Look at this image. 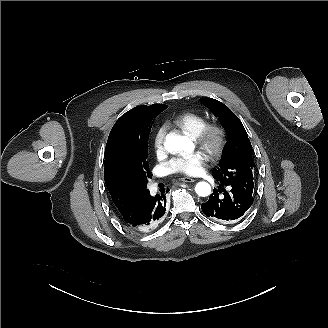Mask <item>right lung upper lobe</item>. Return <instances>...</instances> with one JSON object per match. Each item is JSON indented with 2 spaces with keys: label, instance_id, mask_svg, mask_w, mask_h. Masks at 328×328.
Here are the masks:
<instances>
[{
  "label": "right lung upper lobe",
  "instance_id": "1",
  "mask_svg": "<svg viewBox=\"0 0 328 328\" xmlns=\"http://www.w3.org/2000/svg\"><path fill=\"white\" fill-rule=\"evenodd\" d=\"M144 106L146 105L138 106L131 109L117 120L110 132L106 145L104 170L106 186L110 192V195L116 208L118 209L120 217L123 221H126L127 223H132V221L137 217L143 203L145 202L148 196V193L143 194L134 192L127 188L118 178L112 160V139L121 122L130 115L143 109ZM150 106L162 111L168 107L167 105L162 104Z\"/></svg>",
  "mask_w": 328,
  "mask_h": 328
}]
</instances>
